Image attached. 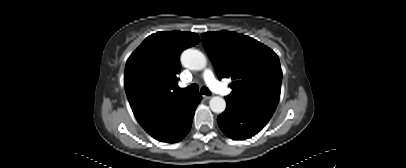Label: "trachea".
I'll return each instance as SVG.
<instances>
[{"label": "trachea", "mask_w": 406, "mask_h": 168, "mask_svg": "<svg viewBox=\"0 0 406 168\" xmlns=\"http://www.w3.org/2000/svg\"><path fill=\"white\" fill-rule=\"evenodd\" d=\"M181 91L186 92V93H195L198 91V85L192 84L185 89H181ZM200 91L202 92V94L211 95V92L209 91V89L207 87H202Z\"/></svg>", "instance_id": "3493384b"}]
</instances>
